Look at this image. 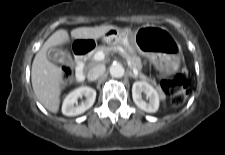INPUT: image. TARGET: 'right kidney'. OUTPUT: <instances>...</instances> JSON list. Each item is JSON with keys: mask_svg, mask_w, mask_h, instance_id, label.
<instances>
[{"mask_svg": "<svg viewBox=\"0 0 225 155\" xmlns=\"http://www.w3.org/2000/svg\"><path fill=\"white\" fill-rule=\"evenodd\" d=\"M86 97L85 102L77 105V100ZM96 91L93 88L84 86L70 92L63 101L62 113L66 116H76L84 113L92 107L95 102Z\"/></svg>", "mask_w": 225, "mask_h": 155, "instance_id": "obj_1", "label": "right kidney"}]
</instances>
